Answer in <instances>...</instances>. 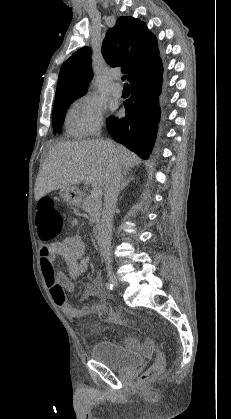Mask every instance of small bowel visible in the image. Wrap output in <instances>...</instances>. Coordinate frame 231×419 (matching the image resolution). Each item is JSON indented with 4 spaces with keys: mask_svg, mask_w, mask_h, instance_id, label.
I'll return each mask as SVG.
<instances>
[{
    "mask_svg": "<svg viewBox=\"0 0 231 419\" xmlns=\"http://www.w3.org/2000/svg\"><path fill=\"white\" fill-rule=\"evenodd\" d=\"M72 223L77 225L78 222L74 220ZM85 253L86 245L80 235L44 245L39 251L42 276L53 301L63 313L73 318H81L85 313L68 301L65 292L74 290L75 279L88 270L91 259ZM58 256L64 259L68 274L56 267L55 260ZM83 297L98 298L101 303L97 306H108L104 303L107 293L100 278H95L86 286ZM126 341L130 344L138 343L134 337H128Z\"/></svg>",
    "mask_w": 231,
    "mask_h": 419,
    "instance_id": "1",
    "label": "small bowel"
}]
</instances>
